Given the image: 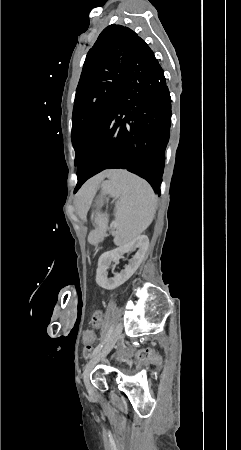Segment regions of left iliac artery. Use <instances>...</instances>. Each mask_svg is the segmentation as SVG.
<instances>
[{
    "label": "left iliac artery",
    "instance_id": "left-iliac-artery-1",
    "mask_svg": "<svg viewBox=\"0 0 241 450\" xmlns=\"http://www.w3.org/2000/svg\"><path fill=\"white\" fill-rule=\"evenodd\" d=\"M114 326H112L110 328V330L108 331L107 337L104 339L103 342H101L99 345H97L92 353V357H94L103 347V345L107 342V340L109 339V337L111 336L112 332H113Z\"/></svg>",
    "mask_w": 241,
    "mask_h": 450
}]
</instances>
